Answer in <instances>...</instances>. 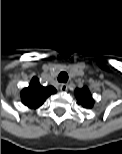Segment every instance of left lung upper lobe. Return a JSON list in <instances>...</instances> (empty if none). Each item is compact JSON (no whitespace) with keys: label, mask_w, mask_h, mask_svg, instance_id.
<instances>
[{"label":"left lung upper lobe","mask_w":122,"mask_h":154,"mask_svg":"<svg viewBox=\"0 0 122 154\" xmlns=\"http://www.w3.org/2000/svg\"><path fill=\"white\" fill-rule=\"evenodd\" d=\"M75 96L78 103L85 108H91L94 104L92 95L90 94L87 87H83L82 89H76Z\"/></svg>","instance_id":"5c2ea615"}]
</instances>
